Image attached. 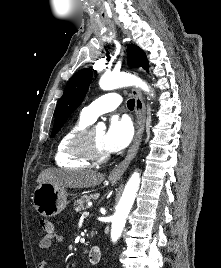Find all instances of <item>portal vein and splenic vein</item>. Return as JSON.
<instances>
[{
	"label": "portal vein and splenic vein",
	"instance_id": "1",
	"mask_svg": "<svg viewBox=\"0 0 221 268\" xmlns=\"http://www.w3.org/2000/svg\"><path fill=\"white\" fill-rule=\"evenodd\" d=\"M87 216H89V212H88V211H84V212L82 213V215H81L82 218H85V217H87Z\"/></svg>",
	"mask_w": 221,
	"mask_h": 268
}]
</instances>
